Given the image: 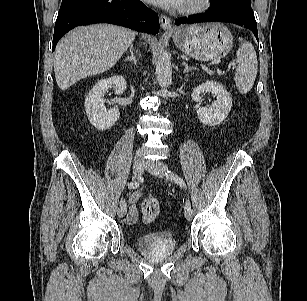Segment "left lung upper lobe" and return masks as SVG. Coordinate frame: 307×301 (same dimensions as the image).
<instances>
[{"label": "left lung upper lobe", "instance_id": "left-lung-upper-lobe-1", "mask_svg": "<svg viewBox=\"0 0 307 301\" xmlns=\"http://www.w3.org/2000/svg\"><path fill=\"white\" fill-rule=\"evenodd\" d=\"M216 9L229 6H251L250 0H211Z\"/></svg>", "mask_w": 307, "mask_h": 301}]
</instances>
